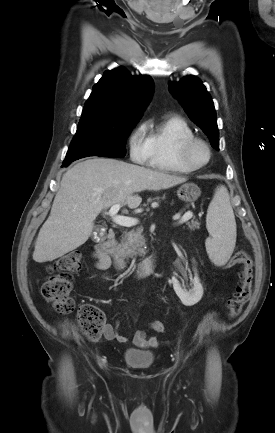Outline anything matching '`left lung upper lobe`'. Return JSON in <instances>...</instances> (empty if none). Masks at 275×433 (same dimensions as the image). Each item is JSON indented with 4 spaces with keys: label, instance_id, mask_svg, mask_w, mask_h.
Masks as SVG:
<instances>
[{
    "label": "left lung upper lobe",
    "instance_id": "obj_1",
    "mask_svg": "<svg viewBox=\"0 0 275 433\" xmlns=\"http://www.w3.org/2000/svg\"><path fill=\"white\" fill-rule=\"evenodd\" d=\"M169 89L179 100L190 120L208 136L212 147L219 150L214 104L200 79L190 75L178 83H169Z\"/></svg>",
    "mask_w": 275,
    "mask_h": 433
}]
</instances>
